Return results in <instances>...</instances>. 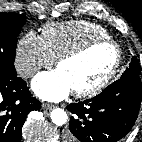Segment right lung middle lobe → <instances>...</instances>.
I'll return each mask as SVG.
<instances>
[{
    "instance_id": "obj_1",
    "label": "right lung middle lobe",
    "mask_w": 142,
    "mask_h": 142,
    "mask_svg": "<svg viewBox=\"0 0 142 142\" xmlns=\"http://www.w3.org/2000/svg\"><path fill=\"white\" fill-rule=\"evenodd\" d=\"M25 21L22 14L0 13V78L17 75L14 66L17 37Z\"/></svg>"
}]
</instances>
